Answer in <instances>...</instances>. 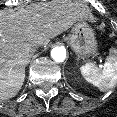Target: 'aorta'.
<instances>
[{"instance_id":"1","label":"aorta","mask_w":117,"mask_h":117,"mask_svg":"<svg viewBox=\"0 0 117 117\" xmlns=\"http://www.w3.org/2000/svg\"><path fill=\"white\" fill-rule=\"evenodd\" d=\"M51 57L56 62H63L66 58V50L62 47H55L51 50Z\"/></svg>"}]
</instances>
